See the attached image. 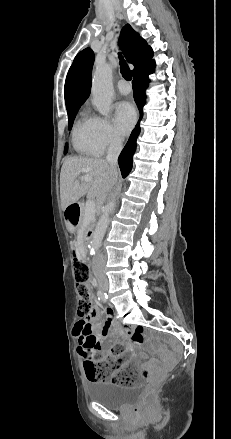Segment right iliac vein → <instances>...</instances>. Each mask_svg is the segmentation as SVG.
<instances>
[{"mask_svg":"<svg viewBox=\"0 0 231 439\" xmlns=\"http://www.w3.org/2000/svg\"><path fill=\"white\" fill-rule=\"evenodd\" d=\"M103 288H104V290H107V288H108V285H103Z\"/></svg>","mask_w":231,"mask_h":439,"instance_id":"63e3f726","label":"right iliac vein"}]
</instances>
